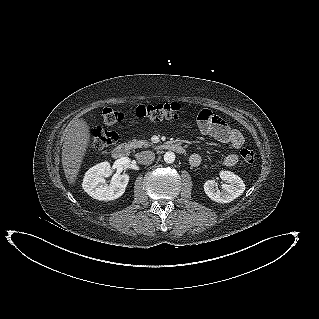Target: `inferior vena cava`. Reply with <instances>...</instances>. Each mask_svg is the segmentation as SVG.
Masks as SVG:
<instances>
[{
    "instance_id": "1",
    "label": "inferior vena cava",
    "mask_w": 319,
    "mask_h": 319,
    "mask_svg": "<svg viewBox=\"0 0 319 319\" xmlns=\"http://www.w3.org/2000/svg\"><path fill=\"white\" fill-rule=\"evenodd\" d=\"M137 161L142 165H149L155 159V153L152 151H142L136 155Z\"/></svg>"
}]
</instances>
